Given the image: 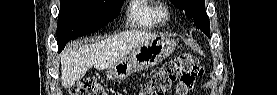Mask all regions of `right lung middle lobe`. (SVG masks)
Wrapping results in <instances>:
<instances>
[{
	"label": "right lung middle lobe",
	"instance_id": "1",
	"mask_svg": "<svg viewBox=\"0 0 277 95\" xmlns=\"http://www.w3.org/2000/svg\"><path fill=\"white\" fill-rule=\"evenodd\" d=\"M122 3L123 0H60L59 51L69 40L92 33L111 22L120 13Z\"/></svg>",
	"mask_w": 277,
	"mask_h": 95
}]
</instances>
